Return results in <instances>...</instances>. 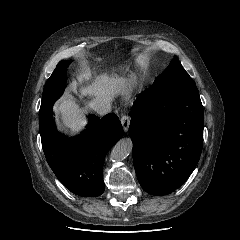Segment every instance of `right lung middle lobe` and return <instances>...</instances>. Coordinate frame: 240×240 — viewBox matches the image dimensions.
Masks as SVG:
<instances>
[{"label":"right lung middle lobe","instance_id":"right-lung-middle-lobe-1","mask_svg":"<svg viewBox=\"0 0 240 240\" xmlns=\"http://www.w3.org/2000/svg\"><path fill=\"white\" fill-rule=\"evenodd\" d=\"M70 61H60L47 80L39 111V119L43 118L53 107L54 102L63 94L66 84V69Z\"/></svg>","mask_w":240,"mask_h":240}]
</instances>
